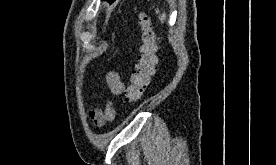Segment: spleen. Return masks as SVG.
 Returning a JSON list of instances; mask_svg holds the SVG:
<instances>
[{"mask_svg": "<svg viewBox=\"0 0 276 165\" xmlns=\"http://www.w3.org/2000/svg\"><path fill=\"white\" fill-rule=\"evenodd\" d=\"M155 12H156V14H159V20H160V22L164 23V21H166V17H167L166 13L163 12V13L160 14V10L159 9H156Z\"/></svg>", "mask_w": 276, "mask_h": 165, "instance_id": "1", "label": "spleen"}]
</instances>
